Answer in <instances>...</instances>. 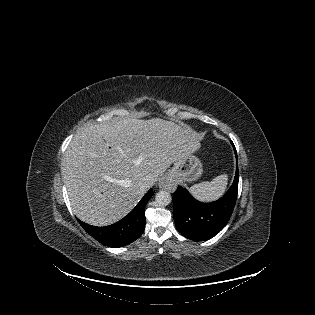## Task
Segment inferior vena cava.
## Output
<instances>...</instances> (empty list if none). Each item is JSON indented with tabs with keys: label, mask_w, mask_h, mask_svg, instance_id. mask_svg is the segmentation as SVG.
Here are the masks:
<instances>
[{
	"label": "inferior vena cava",
	"mask_w": 315,
	"mask_h": 315,
	"mask_svg": "<svg viewBox=\"0 0 315 315\" xmlns=\"http://www.w3.org/2000/svg\"><path fill=\"white\" fill-rule=\"evenodd\" d=\"M149 188H150V183L149 182L146 181V182H142L141 183L140 189L143 192H146Z\"/></svg>",
	"instance_id": "inferior-vena-cava-1"
}]
</instances>
